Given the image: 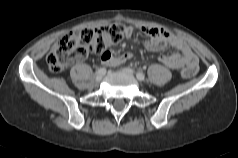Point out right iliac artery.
I'll return each mask as SVG.
<instances>
[{
    "mask_svg": "<svg viewBox=\"0 0 238 158\" xmlns=\"http://www.w3.org/2000/svg\"><path fill=\"white\" fill-rule=\"evenodd\" d=\"M106 72V69L105 68H99L96 72H95V75H99V74H105Z\"/></svg>",
    "mask_w": 238,
    "mask_h": 158,
    "instance_id": "82829eb1",
    "label": "right iliac artery"
}]
</instances>
